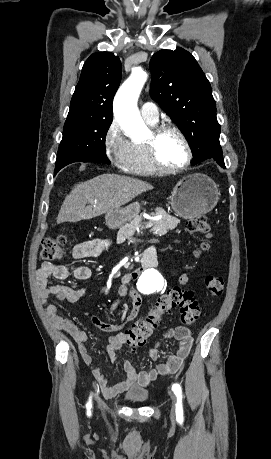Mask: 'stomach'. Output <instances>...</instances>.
<instances>
[{
	"mask_svg": "<svg viewBox=\"0 0 271 459\" xmlns=\"http://www.w3.org/2000/svg\"><path fill=\"white\" fill-rule=\"evenodd\" d=\"M219 200L218 188L205 174H191L180 180L173 188L171 206L177 216L184 220L200 218L211 212ZM139 214L138 204H130L126 208L108 212L105 220L108 226L126 224Z\"/></svg>",
	"mask_w": 271,
	"mask_h": 459,
	"instance_id": "obj_1",
	"label": "stomach"
}]
</instances>
